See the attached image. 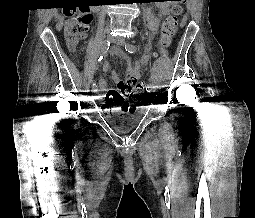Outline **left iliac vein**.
Instances as JSON below:
<instances>
[{
    "label": "left iliac vein",
    "mask_w": 255,
    "mask_h": 218,
    "mask_svg": "<svg viewBox=\"0 0 255 218\" xmlns=\"http://www.w3.org/2000/svg\"><path fill=\"white\" fill-rule=\"evenodd\" d=\"M113 41H114L117 45H119V46H125V45H126L125 40L122 39V38H119V37L114 38ZM147 92H148V91H147Z\"/></svg>",
    "instance_id": "left-iliac-vein-1"
}]
</instances>
